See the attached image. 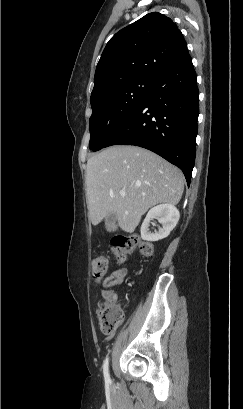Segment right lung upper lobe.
Segmentation results:
<instances>
[{"instance_id": "1", "label": "right lung upper lobe", "mask_w": 243, "mask_h": 409, "mask_svg": "<svg viewBox=\"0 0 243 409\" xmlns=\"http://www.w3.org/2000/svg\"><path fill=\"white\" fill-rule=\"evenodd\" d=\"M177 25L158 12L117 32L107 43L97 64L91 103L131 81L155 82L186 52Z\"/></svg>"}]
</instances>
